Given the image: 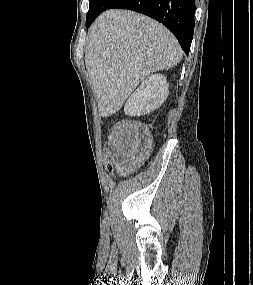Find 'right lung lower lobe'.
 <instances>
[{
    "label": "right lung lower lobe",
    "instance_id": "obj_1",
    "mask_svg": "<svg viewBox=\"0 0 253 285\" xmlns=\"http://www.w3.org/2000/svg\"><path fill=\"white\" fill-rule=\"evenodd\" d=\"M113 8L134 10L158 20L189 54L195 25V0H114L107 9Z\"/></svg>",
    "mask_w": 253,
    "mask_h": 285
}]
</instances>
